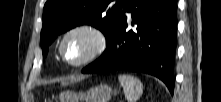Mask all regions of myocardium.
<instances>
[{
	"label": "myocardium",
	"mask_w": 221,
	"mask_h": 102,
	"mask_svg": "<svg viewBox=\"0 0 221 102\" xmlns=\"http://www.w3.org/2000/svg\"><path fill=\"white\" fill-rule=\"evenodd\" d=\"M75 34H83L90 39L91 46L87 54L76 62L68 61L64 54V47L66 41ZM108 46V37L105 31L90 23H79L70 27L63 35L59 44V55L61 60L68 66L71 67H83L90 64L101 56Z\"/></svg>",
	"instance_id": "myocardium-1"
}]
</instances>
